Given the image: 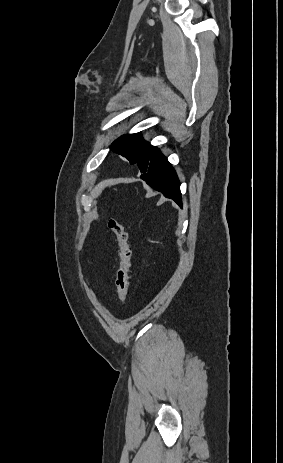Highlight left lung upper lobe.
I'll return each mask as SVG.
<instances>
[{"label":"left lung upper lobe","instance_id":"1","mask_svg":"<svg viewBox=\"0 0 283 463\" xmlns=\"http://www.w3.org/2000/svg\"><path fill=\"white\" fill-rule=\"evenodd\" d=\"M151 145L145 142L139 133L128 134L117 139L110 149L124 156L131 164L137 163L139 158L148 150Z\"/></svg>","mask_w":283,"mask_h":463}]
</instances>
